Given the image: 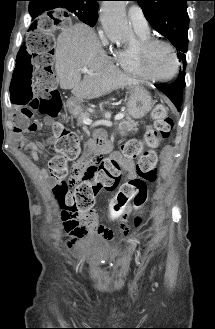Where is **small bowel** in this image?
Segmentation results:
<instances>
[{
  "mask_svg": "<svg viewBox=\"0 0 215 329\" xmlns=\"http://www.w3.org/2000/svg\"><path fill=\"white\" fill-rule=\"evenodd\" d=\"M16 132L19 135V146L28 152L31 157L38 161L45 157L44 149L53 143V139H44L38 142L28 141L21 136L24 131L16 127ZM96 140L92 139L87 143L86 153L73 166L72 169H82L87 161L88 156L96 151ZM123 168L128 173L126 182H121L120 187H117V194L112 197L109 203V208L104 209L105 215H110L111 222L116 224L118 219L121 220L119 229V237L126 236L128 233L127 218L134 208L132 218H147L146 201L150 194L148 182H143V178H136V167L133 160L129 159L123 163ZM70 181L72 178L70 177ZM64 230L69 233L67 246L71 247L75 241L87 233L99 234L103 237L113 239L115 233L106 228L99 222V217L96 211L91 210L86 215L71 216L64 218Z\"/></svg>",
  "mask_w": 215,
  "mask_h": 329,
  "instance_id": "small-bowel-1",
  "label": "small bowel"
}]
</instances>
